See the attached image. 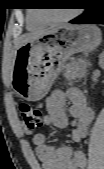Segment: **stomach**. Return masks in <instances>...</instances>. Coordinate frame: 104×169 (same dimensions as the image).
<instances>
[{"label": "stomach", "mask_w": 104, "mask_h": 169, "mask_svg": "<svg viewBox=\"0 0 104 169\" xmlns=\"http://www.w3.org/2000/svg\"><path fill=\"white\" fill-rule=\"evenodd\" d=\"M100 42L101 32L92 25H63L47 31L17 49L12 89L25 100L42 99L71 55L93 50Z\"/></svg>", "instance_id": "1"}]
</instances>
